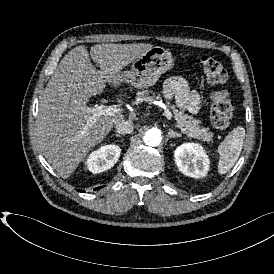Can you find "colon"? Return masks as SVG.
<instances>
[{"label": "colon", "mask_w": 274, "mask_h": 274, "mask_svg": "<svg viewBox=\"0 0 274 274\" xmlns=\"http://www.w3.org/2000/svg\"><path fill=\"white\" fill-rule=\"evenodd\" d=\"M207 80L216 87L210 95V118L216 128H226L233 118V103L226 87L228 73L214 57L202 55L199 59Z\"/></svg>", "instance_id": "5ec220e1"}]
</instances>
